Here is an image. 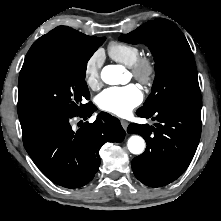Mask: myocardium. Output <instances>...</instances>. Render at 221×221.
<instances>
[{
  "mask_svg": "<svg viewBox=\"0 0 221 221\" xmlns=\"http://www.w3.org/2000/svg\"><path fill=\"white\" fill-rule=\"evenodd\" d=\"M130 68L133 77L143 85L149 86L154 82L156 77V64L153 58L140 56Z\"/></svg>",
  "mask_w": 221,
  "mask_h": 221,
  "instance_id": "1",
  "label": "myocardium"
}]
</instances>
